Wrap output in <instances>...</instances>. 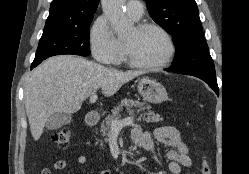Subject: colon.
I'll return each instance as SVG.
<instances>
[{"label": "colon", "mask_w": 249, "mask_h": 174, "mask_svg": "<svg viewBox=\"0 0 249 174\" xmlns=\"http://www.w3.org/2000/svg\"><path fill=\"white\" fill-rule=\"evenodd\" d=\"M73 133L68 127L61 128L52 136V142L60 149L69 147ZM211 165L207 158H203L201 164V174H210Z\"/></svg>", "instance_id": "obj_1"}]
</instances>
